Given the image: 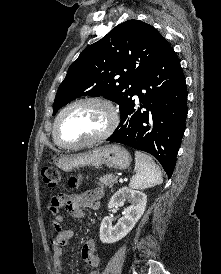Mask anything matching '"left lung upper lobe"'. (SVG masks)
Returning a JSON list of instances; mask_svg holds the SVG:
<instances>
[{"mask_svg":"<svg viewBox=\"0 0 221 274\" xmlns=\"http://www.w3.org/2000/svg\"><path fill=\"white\" fill-rule=\"evenodd\" d=\"M169 47L145 22L128 20L117 25L71 64L58 88L53 114L84 95H102L122 109L135 95L142 74Z\"/></svg>","mask_w":221,"mask_h":274,"instance_id":"obj_1","label":"left lung upper lobe"}]
</instances>
